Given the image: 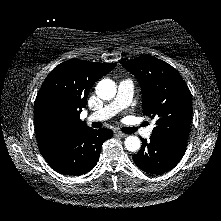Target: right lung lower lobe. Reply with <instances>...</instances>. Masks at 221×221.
<instances>
[{
	"instance_id": "98d812e1",
	"label": "right lung lower lobe",
	"mask_w": 221,
	"mask_h": 221,
	"mask_svg": "<svg viewBox=\"0 0 221 221\" xmlns=\"http://www.w3.org/2000/svg\"><path fill=\"white\" fill-rule=\"evenodd\" d=\"M112 135L113 132L109 129L87 128L45 160L61 174L76 176L86 174L98 162L103 142Z\"/></svg>"
}]
</instances>
